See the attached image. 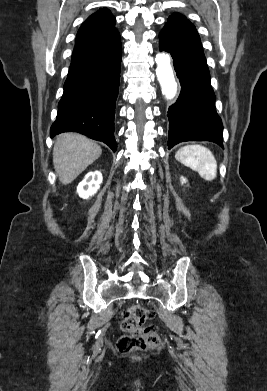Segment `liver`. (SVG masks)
Here are the masks:
<instances>
[{
	"label": "liver",
	"mask_w": 267,
	"mask_h": 391,
	"mask_svg": "<svg viewBox=\"0 0 267 391\" xmlns=\"http://www.w3.org/2000/svg\"><path fill=\"white\" fill-rule=\"evenodd\" d=\"M102 154V149L89 138L64 133L57 136L53 148V164L62 184H70Z\"/></svg>",
	"instance_id": "liver-1"
}]
</instances>
